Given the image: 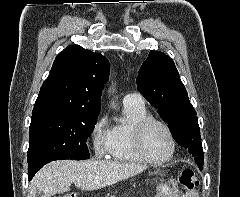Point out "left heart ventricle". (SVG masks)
Segmentation results:
<instances>
[{"label":"left heart ventricle","mask_w":240,"mask_h":197,"mask_svg":"<svg viewBox=\"0 0 240 197\" xmlns=\"http://www.w3.org/2000/svg\"><path fill=\"white\" fill-rule=\"evenodd\" d=\"M144 146L150 157L166 158L171 151V142L166 131L158 124H151L144 133Z\"/></svg>","instance_id":"1"}]
</instances>
